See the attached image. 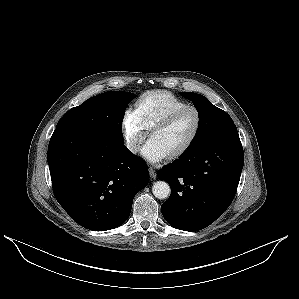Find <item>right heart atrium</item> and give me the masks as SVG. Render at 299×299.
<instances>
[{
	"mask_svg": "<svg viewBox=\"0 0 299 299\" xmlns=\"http://www.w3.org/2000/svg\"><path fill=\"white\" fill-rule=\"evenodd\" d=\"M148 129L135 110L127 109L122 117V134L126 148L136 154L144 141Z\"/></svg>",
	"mask_w": 299,
	"mask_h": 299,
	"instance_id": "1",
	"label": "right heart atrium"
}]
</instances>
